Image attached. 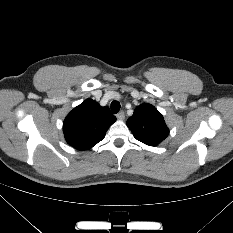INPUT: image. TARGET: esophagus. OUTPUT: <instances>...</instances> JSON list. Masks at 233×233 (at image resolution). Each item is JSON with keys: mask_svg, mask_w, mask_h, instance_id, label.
Returning <instances> with one entry per match:
<instances>
[{"mask_svg": "<svg viewBox=\"0 0 233 233\" xmlns=\"http://www.w3.org/2000/svg\"><path fill=\"white\" fill-rule=\"evenodd\" d=\"M116 116L119 120H123L125 118V113L123 111H120Z\"/></svg>", "mask_w": 233, "mask_h": 233, "instance_id": "esophagus-1", "label": "esophagus"}]
</instances>
